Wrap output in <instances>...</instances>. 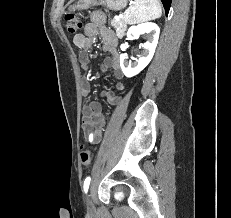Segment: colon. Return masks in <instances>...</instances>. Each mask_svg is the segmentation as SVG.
<instances>
[{
	"label": "colon",
	"mask_w": 231,
	"mask_h": 218,
	"mask_svg": "<svg viewBox=\"0 0 231 218\" xmlns=\"http://www.w3.org/2000/svg\"><path fill=\"white\" fill-rule=\"evenodd\" d=\"M65 28L69 34H76L82 27V23L74 14H66L64 17ZM83 165H88L91 161V153L89 150H83L80 154Z\"/></svg>",
	"instance_id": "1"
}]
</instances>
